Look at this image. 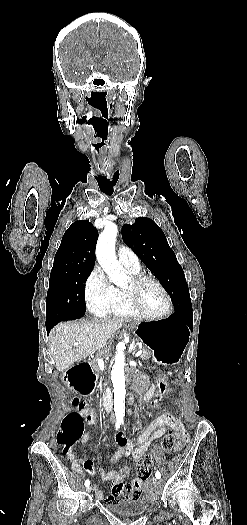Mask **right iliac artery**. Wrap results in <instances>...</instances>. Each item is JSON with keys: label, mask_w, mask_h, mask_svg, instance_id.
I'll return each instance as SVG.
<instances>
[{"label": "right iliac artery", "mask_w": 247, "mask_h": 525, "mask_svg": "<svg viewBox=\"0 0 247 525\" xmlns=\"http://www.w3.org/2000/svg\"><path fill=\"white\" fill-rule=\"evenodd\" d=\"M119 427V425L117 424L116 425V429ZM90 485V481L89 480H86L85 481V486L88 487Z\"/></svg>", "instance_id": "obj_1"}]
</instances>
